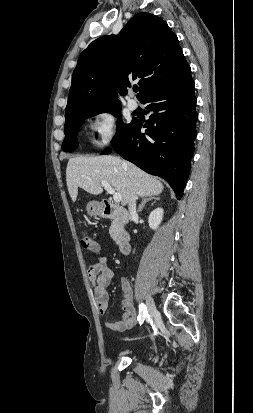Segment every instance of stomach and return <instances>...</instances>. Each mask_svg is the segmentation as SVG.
Instances as JSON below:
<instances>
[{
  "label": "stomach",
  "instance_id": "1",
  "mask_svg": "<svg viewBox=\"0 0 253 413\" xmlns=\"http://www.w3.org/2000/svg\"><path fill=\"white\" fill-rule=\"evenodd\" d=\"M86 210L90 216H100L103 213L101 204L96 201L89 202L87 204Z\"/></svg>",
  "mask_w": 253,
  "mask_h": 413
}]
</instances>
